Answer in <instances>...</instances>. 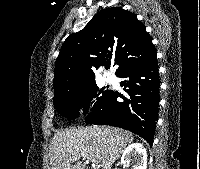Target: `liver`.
Returning <instances> with one entry per match:
<instances>
[{
	"mask_svg": "<svg viewBox=\"0 0 200 169\" xmlns=\"http://www.w3.org/2000/svg\"><path fill=\"white\" fill-rule=\"evenodd\" d=\"M133 140L132 133L109 126L60 130L52 139L50 169H85L79 160L86 158L101 163L102 169H111Z\"/></svg>",
	"mask_w": 200,
	"mask_h": 169,
	"instance_id": "obj_1",
	"label": "liver"
}]
</instances>
